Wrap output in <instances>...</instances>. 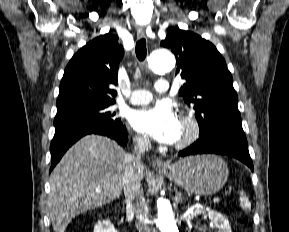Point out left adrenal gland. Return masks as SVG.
I'll list each match as a JSON object with an SVG mask.
<instances>
[{
  "label": "left adrenal gland",
  "mask_w": 289,
  "mask_h": 232,
  "mask_svg": "<svg viewBox=\"0 0 289 232\" xmlns=\"http://www.w3.org/2000/svg\"><path fill=\"white\" fill-rule=\"evenodd\" d=\"M175 201H176L177 204L182 202L181 193H179L178 191H176Z\"/></svg>",
  "instance_id": "obj_1"
}]
</instances>
